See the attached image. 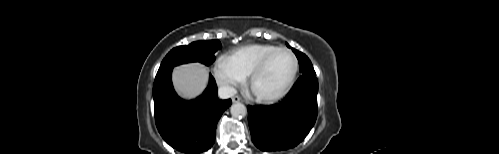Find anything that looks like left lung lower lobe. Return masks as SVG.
Returning <instances> with one entry per match:
<instances>
[{
    "mask_svg": "<svg viewBox=\"0 0 499 154\" xmlns=\"http://www.w3.org/2000/svg\"><path fill=\"white\" fill-rule=\"evenodd\" d=\"M318 80L301 75L288 95L271 106H248L254 145L262 151L287 150L308 135L317 118Z\"/></svg>",
    "mask_w": 499,
    "mask_h": 154,
    "instance_id": "1",
    "label": "left lung lower lobe"
}]
</instances>
